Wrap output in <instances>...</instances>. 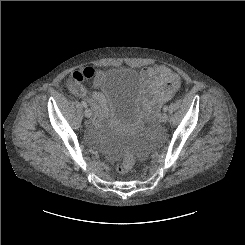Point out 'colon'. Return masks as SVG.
Listing matches in <instances>:
<instances>
[{
    "mask_svg": "<svg viewBox=\"0 0 245 245\" xmlns=\"http://www.w3.org/2000/svg\"><path fill=\"white\" fill-rule=\"evenodd\" d=\"M134 165V157L131 152L126 151L115 163V169L118 173L129 172Z\"/></svg>",
    "mask_w": 245,
    "mask_h": 245,
    "instance_id": "5ec220e1",
    "label": "colon"
}]
</instances>
